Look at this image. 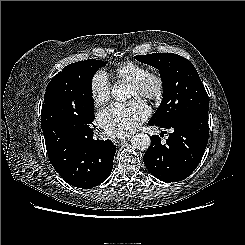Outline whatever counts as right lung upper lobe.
Masks as SVG:
<instances>
[{
    "instance_id": "right-lung-upper-lobe-1",
    "label": "right lung upper lobe",
    "mask_w": 245,
    "mask_h": 245,
    "mask_svg": "<svg viewBox=\"0 0 245 245\" xmlns=\"http://www.w3.org/2000/svg\"><path fill=\"white\" fill-rule=\"evenodd\" d=\"M76 95L69 65L49 82L41 111V126L44 135L63 129L61 119Z\"/></svg>"
}]
</instances>
